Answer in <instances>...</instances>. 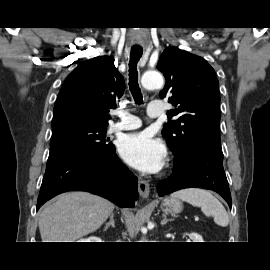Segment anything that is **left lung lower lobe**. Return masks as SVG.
Returning <instances> with one entry per match:
<instances>
[{"label":"left lung lower lobe","instance_id":"0a47b994","mask_svg":"<svg viewBox=\"0 0 270 270\" xmlns=\"http://www.w3.org/2000/svg\"><path fill=\"white\" fill-rule=\"evenodd\" d=\"M222 150L192 146L175 156L173 174L157 186L160 197L174 191L198 187L219 193L231 209V194L223 169Z\"/></svg>","mask_w":270,"mask_h":270}]
</instances>
